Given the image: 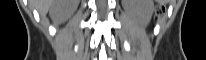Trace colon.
I'll return each instance as SVG.
<instances>
[{
  "label": "colon",
  "instance_id": "obj_1",
  "mask_svg": "<svg viewBox=\"0 0 206 60\" xmlns=\"http://www.w3.org/2000/svg\"><path fill=\"white\" fill-rule=\"evenodd\" d=\"M163 10H164L163 6H158L157 10H156V13L159 15V14H161L163 12Z\"/></svg>",
  "mask_w": 206,
  "mask_h": 60
}]
</instances>
